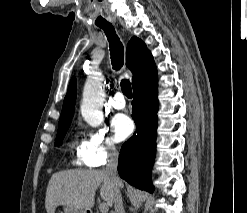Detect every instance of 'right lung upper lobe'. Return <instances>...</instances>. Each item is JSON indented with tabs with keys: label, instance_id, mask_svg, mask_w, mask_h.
<instances>
[{
	"label": "right lung upper lobe",
	"instance_id": "obj_1",
	"mask_svg": "<svg viewBox=\"0 0 247 213\" xmlns=\"http://www.w3.org/2000/svg\"><path fill=\"white\" fill-rule=\"evenodd\" d=\"M126 66L133 73V87L140 81L157 73L151 52L147 49L145 43L137 37H132L127 44ZM75 99L76 79L73 77L64 99L59 126L71 123L74 115Z\"/></svg>",
	"mask_w": 247,
	"mask_h": 213
}]
</instances>
